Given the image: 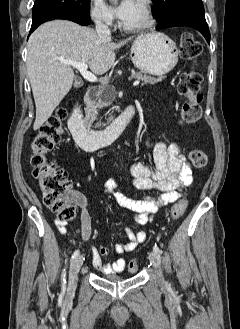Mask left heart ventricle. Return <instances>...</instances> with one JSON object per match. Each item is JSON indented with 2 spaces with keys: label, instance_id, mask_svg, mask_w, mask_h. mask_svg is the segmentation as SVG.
I'll return each instance as SVG.
<instances>
[{
  "label": "left heart ventricle",
  "instance_id": "1",
  "mask_svg": "<svg viewBox=\"0 0 240 329\" xmlns=\"http://www.w3.org/2000/svg\"><path fill=\"white\" fill-rule=\"evenodd\" d=\"M144 21V11L141 4L136 0L131 15L123 21L126 25H138Z\"/></svg>",
  "mask_w": 240,
  "mask_h": 329
}]
</instances>
